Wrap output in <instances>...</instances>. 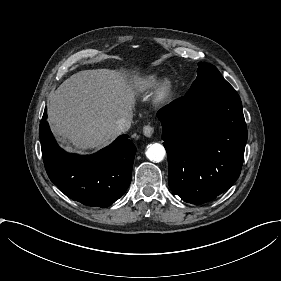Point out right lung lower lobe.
Returning a JSON list of instances; mask_svg holds the SVG:
<instances>
[{"label": "right lung lower lobe", "instance_id": "98d812e1", "mask_svg": "<svg viewBox=\"0 0 281 281\" xmlns=\"http://www.w3.org/2000/svg\"><path fill=\"white\" fill-rule=\"evenodd\" d=\"M47 119L40 123L39 136L46 172L50 180L69 198L86 206L105 208L127 190L136 154L128 135L93 155L80 156L64 151L56 143Z\"/></svg>", "mask_w": 281, "mask_h": 281}]
</instances>
